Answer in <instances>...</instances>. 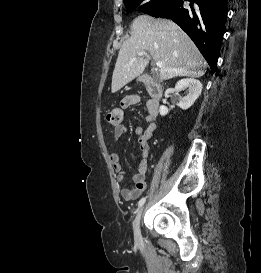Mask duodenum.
<instances>
[{
    "instance_id": "410a0bca",
    "label": "duodenum",
    "mask_w": 261,
    "mask_h": 273,
    "mask_svg": "<svg viewBox=\"0 0 261 273\" xmlns=\"http://www.w3.org/2000/svg\"><path fill=\"white\" fill-rule=\"evenodd\" d=\"M142 82L146 86L148 92L151 95V105L153 108L158 107L159 102L162 98L163 95V87L162 85L155 81L152 77L150 76H145L142 79Z\"/></svg>"
}]
</instances>
